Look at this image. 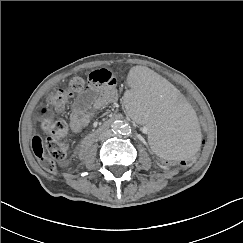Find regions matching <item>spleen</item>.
Listing matches in <instances>:
<instances>
[{
	"label": "spleen",
	"mask_w": 243,
	"mask_h": 243,
	"mask_svg": "<svg viewBox=\"0 0 243 243\" xmlns=\"http://www.w3.org/2000/svg\"><path fill=\"white\" fill-rule=\"evenodd\" d=\"M123 104L131 119L147 124L148 141L160 156L183 159L196 149L199 135L191 103L166 76H143L128 87Z\"/></svg>",
	"instance_id": "obj_1"
}]
</instances>
